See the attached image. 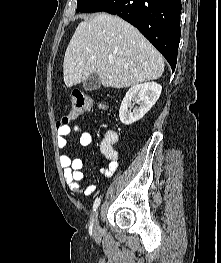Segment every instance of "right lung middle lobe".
Listing matches in <instances>:
<instances>
[{"label":"right lung middle lobe","mask_w":221,"mask_h":263,"mask_svg":"<svg viewBox=\"0 0 221 263\" xmlns=\"http://www.w3.org/2000/svg\"><path fill=\"white\" fill-rule=\"evenodd\" d=\"M104 0H77L76 12H93V10Z\"/></svg>","instance_id":"obj_1"}]
</instances>
